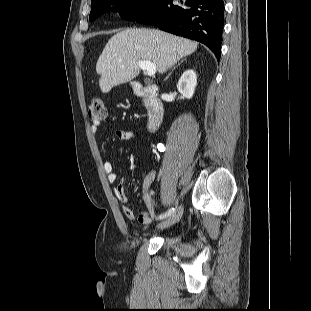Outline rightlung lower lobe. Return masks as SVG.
I'll list each match as a JSON object with an SVG mask.
<instances>
[{"label":"right lung lower lobe","mask_w":311,"mask_h":311,"mask_svg":"<svg viewBox=\"0 0 311 311\" xmlns=\"http://www.w3.org/2000/svg\"><path fill=\"white\" fill-rule=\"evenodd\" d=\"M149 23L159 29L199 41L220 59L224 26L223 0H160L146 14L133 20Z\"/></svg>","instance_id":"right-lung-lower-lobe-1"}]
</instances>
